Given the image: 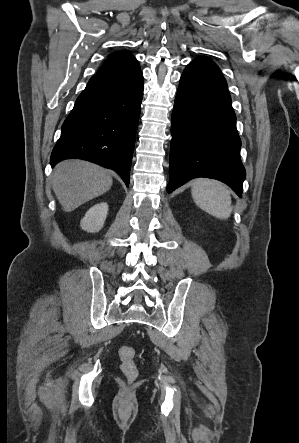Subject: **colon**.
Here are the masks:
<instances>
[{
  "label": "colon",
  "mask_w": 299,
  "mask_h": 443,
  "mask_svg": "<svg viewBox=\"0 0 299 443\" xmlns=\"http://www.w3.org/2000/svg\"><path fill=\"white\" fill-rule=\"evenodd\" d=\"M134 357L135 351L132 347L124 346L119 349L121 371L129 380H134L138 375Z\"/></svg>",
  "instance_id": "1"
}]
</instances>
